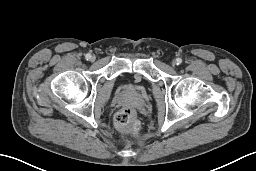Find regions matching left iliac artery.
Here are the masks:
<instances>
[{
    "label": "left iliac artery",
    "mask_w": 256,
    "mask_h": 171,
    "mask_svg": "<svg viewBox=\"0 0 256 171\" xmlns=\"http://www.w3.org/2000/svg\"><path fill=\"white\" fill-rule=\"evenodd\" d=\"M176 61H177V65L182 63V59L181 58H177Z\"/></svg>",
    "instance_id": "obj_1"
}]
</instances>
